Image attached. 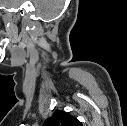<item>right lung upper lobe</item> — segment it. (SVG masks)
I'll return each instance as SVG.
<instances>
[{
	"label": "right lung upper lobe",
	"instance_id": "right-lung-upper-lobe-1",
	"mask_svg": "<svg viewBox=\"0 0 127 126\" xmlns=\"http://www.w3.org/2000/svg\"><path fill=\"white\" fill-rule=\"evenodd\" d=\"M43 126H82V123L69 113L57 110Z\"/></svg>",
	"mask_w": 127,
	"mask_h": 126
}]
</instances>
